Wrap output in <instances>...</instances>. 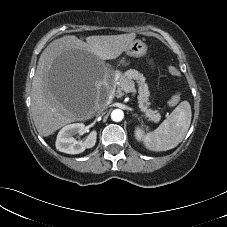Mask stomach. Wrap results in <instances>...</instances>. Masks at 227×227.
Returning <instances> with one entry per match:
<instances>
[{
    "mask_svg": "<svg viewBox=\"0 0 227 227\" xmlns=\"http://www.w3.org/2000/svg\"><path fill=\"white\" fill-rule=\"evenodd\" d=\"M147 52V45L146 43H144L142 40H134L125 50V53L128 56H132V57H141L143 55H145ZM149 65H153V61L149 60L148 61Z\"/></svg>",
    "mask_w": 227,
    "mask_h": 227,
    "instance_id": "1",
    "label": "stomach"
}]
</instances>
